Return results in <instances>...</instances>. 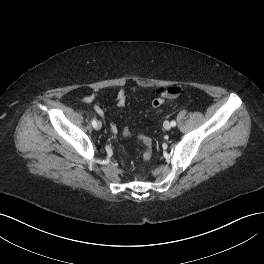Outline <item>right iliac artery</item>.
<instances>
[{"mask_svg":"<svg viewBox=\"0 0 264 264\" xmlns=\"http://www.w3.org/2000/svg\"><path fill=\"white\" fill-rule=\"evenodd\" d=\"M92 126H93L94 128H96V126H97V122H96V120H92Z\"/></svg>","mask_w":264,"mask_h":264,"instance_id":"obj_1","label":"right iliac artery"}]
</instances>
